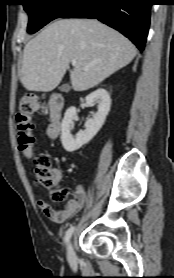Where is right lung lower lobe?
I'll return each instance as SVG.
<instances>
[{
	"label": "right lung lower lobe",
	"instance_id": "1",
	"mask_svg": "<svg viewBox=\"0 0 174 278\" xmlns=\"http://www.w3.org/2000/svg\"><path fill=\"white\" fill-rule=\"evenodd\" d=\"M152 0H78L61 18H96L144 50Z\"/></svg>",
	"mask_w": 174,
	"mask_h": 278
}]
</instances>
